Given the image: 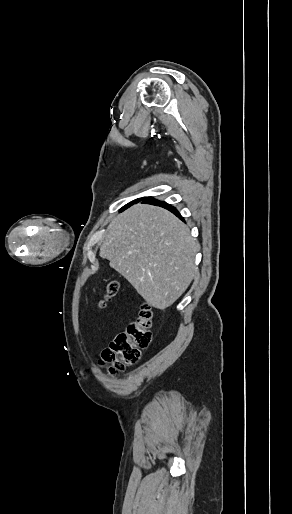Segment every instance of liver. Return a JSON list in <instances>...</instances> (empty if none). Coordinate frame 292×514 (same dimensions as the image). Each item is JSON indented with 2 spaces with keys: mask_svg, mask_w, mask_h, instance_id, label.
<instances>
[{
  "mask_svg": "<svg viewBox=\"0 0 292 514\" xmlns=\"http://www.w3.org/2000/svg\"><path fill=\"white\" fill-rule=\"evenodd\" d=\"M198 246L176 216L140 204L118 214L107 228L101 258L157 310L172 306L191 284Z\"/></svg>",
  "mask_w": 292,
  "mask_h": 514,
  "instance_id": "liver-1",
  "label": "liver"
}]
</instances>
